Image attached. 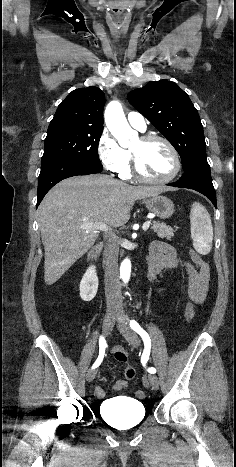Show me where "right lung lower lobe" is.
I'll use <instances>...</instances> for the list:
<instances>
[{
	"mask_svg": "<svg viewBox=\"0 0 236 467\" xmlns=\"http://www.w3.org/2000/svg\"><path fill=\"white\" fill-rule=\"evenodd\" d=\"M102 170L101 168L71 159H60L42 165L38 177V199L36 207H38L45 194L61 180L76 175L99 173Z\"/></svg>",
	"mask_w": 236,
	"mask_h": 467,
	"instance_id": "98d812e1",
	"label": "right lung lower lobe"
}]
</instances>
